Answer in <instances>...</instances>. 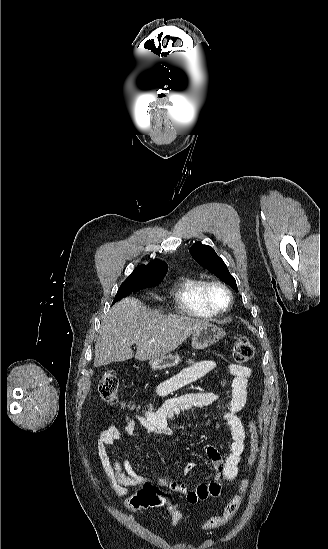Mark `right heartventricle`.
Masks as SVG:
<instances>
[{"label": "right heart ventricle", "instance_id": "e07e8e85", "mask_svg": "<svg viewBox=\"0 0 328 549\" xmlns=\"http://www.w3.org/2000/svg\"><path fill=\"white\" fill-rule=\"evenodd\" d=\"M207 280L197 277L184 278L174 292L176 310H182V319H201V323L215 318L203 309V290Z\"/></svg>", "mask_w": 328, "mask_h": 549}]
</instances>
